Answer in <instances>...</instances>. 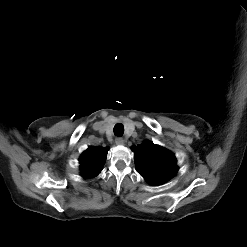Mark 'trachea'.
I'll use <instances>...</instances> for the list:
<instances>
[{
	"label": "trachea",
	"mask_w": 247,
	"mask_h": 247,
	"mask_svg": "<svg viewBox=\"0 0 247 247\" xmlns=\"http://www.w3.org/2000/svg\"><path fill=\"white\" fill-rule=\"evenodd\" d=\"M123 133H124V127H123V125L122 124H116L115 126H114V134L116 135V136H122L123 135Z\"/></svg>",
	"instance_id": "trachea-1"
}]
</instances>
